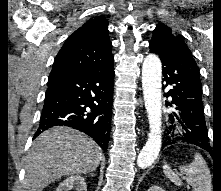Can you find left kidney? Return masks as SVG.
<instances>
[{"label":"left kidney","instance_id":"left-kidney-1","mask_svg":"<svg viewBox=\"0 0 221 191\" xmlns=\"http://www.w3.org/2000/svg\"><path fill=\"white\" fill-rule=\"evenodd\" d=\"M148 191H164L162 188H160L159 186L156 185H152Z\"/></svg>","mask_w":221,"mask_h":191}]
</instances>
